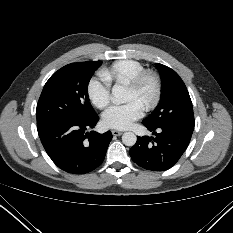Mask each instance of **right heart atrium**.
I'll return each instance as SVG.
<instances>
[{
    "label": "right heart atrium",
    "mask_w": 233,
    "mask_h": 233,
    "mask_svg": "<svg viewBox=\"0 0 233 233\" xmlns=\"http://www.w3.org/2000/svg\"><path fill=\"white\" fill-rule=\"evenodd\" d=\"M87 95L95 107L104 110L108 108L112 101L111 85L100 74L94 76L88 82Z\"/></svg>",
    "instance_id": "1"
}]
</instances>
